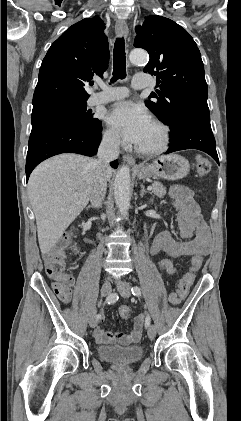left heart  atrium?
Listing matches in <instances>:
<instances>
[{"label": "left heart atrium", "instance_id": "left-heart-atrium-1", "mask_svg": "<svg viewBox=\"0 0 241 421\" xmlns=\"http://www.w3.org/2000/svg\"><path fill=\"white\" fill-rule=\"evenodd\" d=\"M105 120L124 141L137 145L152 124L146 109L130 101L114 104L107 111Z\"/></svg>", "mask_w": 241, "mask_h": 421}]
</instances>
